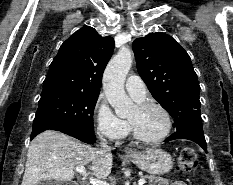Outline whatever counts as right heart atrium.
Returning a JSON list of instances; mask_svg holds the SVG:
<instances>
[{
    "label": "right heart atrium",
    "mask_w": 233,
    "mask_h": 185,
    "mask_svg": "<svg viewBox=\"0 0 233 185\" xmlns=\"http://www.w3.org/2000/svg\"><path fill=\"white\" fill-rule=\"evenodd\" d=\"M93 119L96 133L110 141L122 140L129 132L128 123L119 118L102 97L95 102Z\"/></svg>",
    "instance_id": "1"
}]
</instances>
